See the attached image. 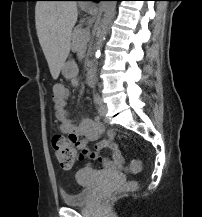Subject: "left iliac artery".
Returning <instances> with one entry per match:
<instances>
[{
    "mask_svg": "<svg viewBox=\"0 0 202 217\" xmlns=\"http://www.w3.org/2000/svg\"><path fill=\"white\" fill-rule=\"evenodd\" d=\"M94 101H95L96 104H100L101 103L102 100H101L99 94H95L94 95Z\"/></svg>",
    "mask_w": 202,
    "mask_h": 217,
    "instance_id": "1",
    "label": "left iliac artery"
}]
</instances>
